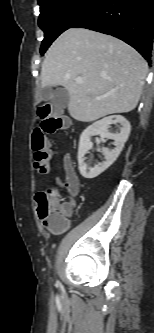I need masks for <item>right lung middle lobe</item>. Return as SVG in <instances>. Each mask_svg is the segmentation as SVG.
Here are the masks:
<instances>
[{
  "label": "right lung middle lobe",
  "mask_w": 154,
  "mask_h": 333,
  "mask_svg": "<svg viewBox=\"0 0 154 333\" xmlns=\"http://www.w3.org/2000/svg\"><path fill=\"white\" fill-rule=\"evenodd\" d=\"M100 0H39L41 8L39 26L45 37L41 44V55L65 30L86 16Z\"/></svg>",
  "instance_id": "dd1d6c3e"
}]
</instances>
